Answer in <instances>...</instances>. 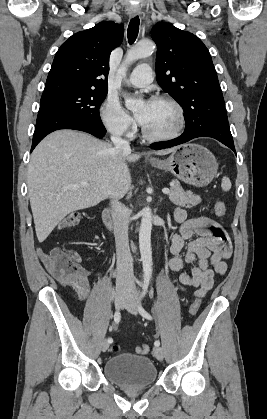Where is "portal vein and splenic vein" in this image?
Returning <instances> with one entry per match:
<instances>
[{
	"label": "portal vein and splenic vein",
	"mask_w": 267,
	"mask_h": 419,
	"mask_svg": "<svg viewBox=\"0 0 267 419\" xmlns=\"http://www.w3.org/2000/svg\"><path fill=\"white\" fill-rule=\"evenodd\" d=\"M81 185H83V186H87L88 185V183H86V182H83V183H81ZM162 192H163V194H170V190L168 189V188H164L163 190H162Z\"/></svg>",
	"instance_id": "portal-vein-and-splenic-vein-1"
}]
</instances>
